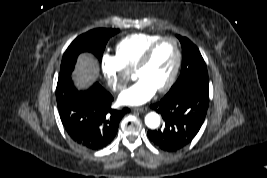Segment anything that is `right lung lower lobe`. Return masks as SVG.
<instances>
[{
	"label": "right lung lower lobe",
	"instance_id": "right-lung-lower-lobe-1",
	"mask_svg": "<svg viewBox=\"0 0 267 178\" xmlns=\"http://www.w3.org/2000/svg\"><path fill=\"white\" fill-rule=\"evenodd\" d=\"M56 98L66 132L76 144L89 150L106 147L115 137L120 120L130 111L112 109L113 97L99 83L78 91L71 76L58 79Z\"/></svg>",
	"mask_w": 267,
	"mask_h": 178
}]
</instances>
